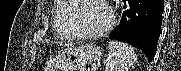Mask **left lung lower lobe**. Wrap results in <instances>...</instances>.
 <instances>
[{"mask_svg":"<svg viewBox=\"0 0 181 71\" xmlns=\"http://www.w3.org/2000/svg\"><path fill=\"white\" fill-rule=\"evenodd\" d=\"M121 24L110 38L141 49L152 61L161 32L164 0H123Z\"/></svg>","mask_w":181,"mask_h":71,"instance_id":"1","label":"left lung lower lobe"}]
</instances>
